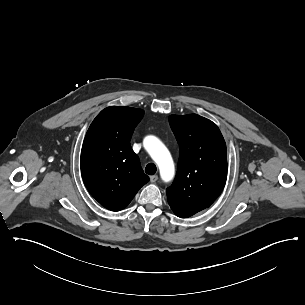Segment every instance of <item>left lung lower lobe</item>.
Here are the masks:
<instances>
[{
  "label": "left lung lower lobe",
  "instance_id": "left-lung-lower-lobe-1",
  "mask_svg": "<svg viewBox=\"0 0 305 305\" xmlns=\"http://www.w3.org/2000/svg\"><path fill=\"white\" fill-rule=\"evenodd\" d=\"M175 213V212H174ZM178 217H181V218H186L185 216H183V215H180V214H178V213H175Z\"/></svg>",
  "mask_w": 305,
  "mask_h": 305
}]
</instances>
